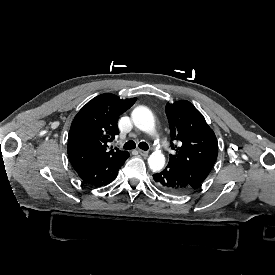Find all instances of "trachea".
<instances>
[{
  "label": "trachea",
  "mask_w": 275,
  "mask_h": 275,
  "mask_svg": "<svg viewBox=\"0 0 275 275\" xmlns=\"http://www.w3.org/2000/svg\"><path fill=\"white\" fill-rule=\"evenodd\" d=\"M138 146L140 149L144 151L148 150V144L145 142H140ZM135 147H136V144L133 140H130L124 144V149H134Z\"/></svg>",
  "instance_id": "trachea-1"
}]
</instances>
